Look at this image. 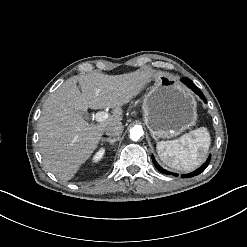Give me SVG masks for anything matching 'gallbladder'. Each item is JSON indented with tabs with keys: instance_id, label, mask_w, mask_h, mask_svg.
Instances as JSON below:
<instances>
[{
	"instance_id": "obj_1",
	"label": "gallbladder",
	"mask_w": 247,
	"mask_h": 247,
	"mask_svg": "<svg viewBox=\"0 0 247 247\" xmlns=\"http://www.w3.org/2000/svg\"><path fill=\"white\" fill-rule=\"evenodd\" d=\"M74 109H75L76 112H77L80 116H82L84 119L90 120V115H89V113H88V111H87L86 109L81 108V107H78V106L75 107Z\"/></svg>"
}]
</instances>
